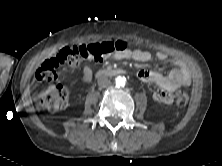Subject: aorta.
<instances>
[{
  "label": "aorta",
  "mask_w": 222,
  "mask_h": 166,
  "mask_svg": "<svg viewBox=\"0 0 222 166\" xmlns=\"http://www.w3.org/2000/svg\"><path fill=\"white\" fill-rule=\"evenodd\" d=\"M116 86L123 87L126 83V78L124 76H118L115 80Z\"/></svg>",
  "instance_id": "obj_1"
}]
</instances>
